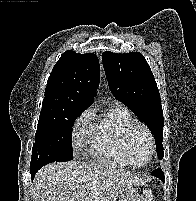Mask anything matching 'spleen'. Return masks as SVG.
Wrapping results in <instances>:
<instances>
[{"mask_svg": "<svg viewBox=\"0 0 196 201\" xmlns=\"http://www.w3.org/2000/svg\"><path fill=\"white\" fill-rule=\"evenodd\" d=\"M144 200L145 201H151L152 199V193L150 190L145 191L144 193Z\"/></svg>", "mask_w": 196, "mask_h": 201, "instance_id": "spleen-1", "label": "spleen"}]
</instances>
